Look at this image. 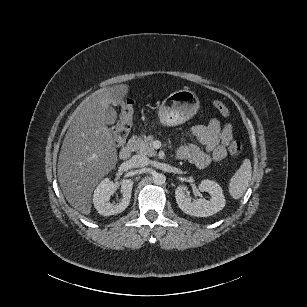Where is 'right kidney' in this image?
Listing matches in <instances>:
<instances>
[{
    "label": "right kidney",
    "mask_w": 307,
    "mask_h": 307,
    "mask_svg": "<svg viewBox=\"0 0 307 307\" xmlns=\"http://www.w3.org/2000/svg\"><path fill=\"white\" fill-rule=\"evenodd\" d=\"M132 184L133 182L131 180H125L121 188V201L116 204H111L110 197L114 193V184L109 177L103 178L93 192L92 203L94 208L98 213L105 216L122 212L129 205Z\"/></svg>",
    "instance_id": "obj_1"
}]
</instances>
